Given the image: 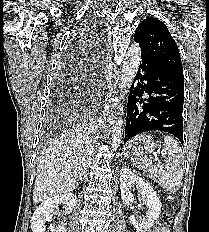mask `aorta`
Returning <instances> with one entry per match:
<instances>
[{"instance_id": "obj_1", "label": "aorta", "mask_w": 209, "mask_h": 232, "mask_svg": "<svg viewBox=\"0 0 209 232\" xmlns=\"http://www.w3.org/2000/svg\"><path fill=\"white\" fill-rule=\"evenodd\" d=\"M141 60V49L139 45L134 44L128 49L122 68V74L120 76V89L124 92L120 95L121 99H124V93L127 92L126 89L130 88L132 82L135 78V75L138 71ZM123 107L119 108L118 115L122 116ZM113 139H112V148L113 151H116L120 146V143L123 140V120L119 117L116 118L114 126L112 129Z\"/></svg>"}]
</instances>
